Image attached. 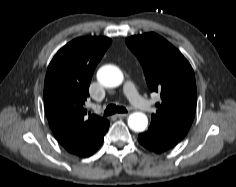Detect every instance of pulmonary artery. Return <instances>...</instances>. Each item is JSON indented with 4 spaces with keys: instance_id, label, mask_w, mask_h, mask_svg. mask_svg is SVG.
I'll use <instances>...</instances> for the list:
<instances>
[{
    "instance_id": "obj_1",
    "label": "pulmonary artery",
    "mask_w": 236,
    "mask_h": 187,
    "mask_svg": "<svg viewBox=\"0 0 236 187\" xmlns=\"http://www.w3.org/2000/svg\"><path fill=\"white\" fill-rule=\"evenodd\" d=\"M123 92L126 98L135 107H147L149 105L139 96L134 83L131 80H127L124 83Z\"/></svg>"
}]
</instances>
